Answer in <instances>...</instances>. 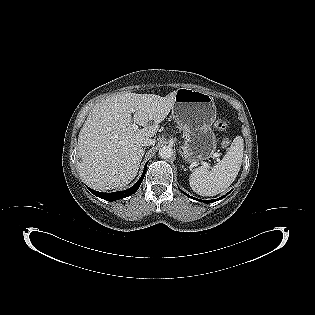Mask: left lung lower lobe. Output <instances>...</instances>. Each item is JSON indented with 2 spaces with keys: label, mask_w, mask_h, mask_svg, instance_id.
Wrapping results in <instances>:
<instances>
[{
  "label": "left lung lower lobe",
  "mask_w": 315,
  "mask_h": 315,
  "mask_svg": "<svg viewBox=\"0 0 315 315\" xmlns=\"http://www.w3.org/2000/svg\"><path fill=\"white\" fill-rule=\"evenodd\" d=\"M181 192L182 193H184L185 195H187L185 192H183L182 190H181ZM228 194V193H227ZM188 197H190L189 195H187ZM225 196H222V197H220L219 199H216V200H199V201H203L204 203H212V202H215V201H217V200H220V199H222V198H224ZM192 198V197H191ZM198 200V199H197Z\"/></svg>",
  "instance_id": "left-lung-lower-lobe-1"
}]
</instances>
